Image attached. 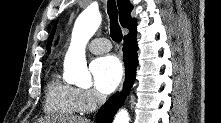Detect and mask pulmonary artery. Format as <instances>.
Returning <instances> with one entry per match:
<instances>
[{"label":"pulmonary artery","instance_id":"e3ab8cb5","mask_svg":"<svg viewBox=\"0 0 221 123\" xmlns=\"http://www.w3.org/2000/svg\"><path fill=\"white\" fill-rule=\"evenodd\" d=\"M88 48L95 54H102L111 49V44L106 38H95L89 43Z\"/></svg>","mask_w":221,"mask_h":123}]
</instances>
